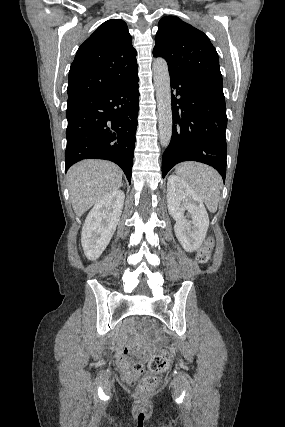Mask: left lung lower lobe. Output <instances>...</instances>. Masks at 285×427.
Wrapping results in <instances>:
<instances>
[{
	"label": "left lung lower lobe",
	"instance_id": "1",
	"mask_svg": "<svg viewBox=\"0 0 285 427\" xmlns=\"http://www.w3.org/2000/svg\"><path fill=\"white\" fill-rule=\"evenodd\" d=\"M173 127L162 159L163 178L176 164L197 161L226 176V104L223 87L170 75Z\"/></svg>",
	"mask_w": 285,
	"mask_h": 427
}]
</instances>
